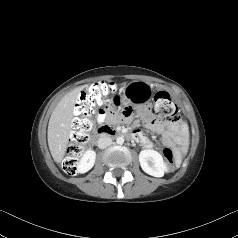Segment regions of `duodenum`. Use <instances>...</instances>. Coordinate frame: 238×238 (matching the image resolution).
<instances>
[{
    "instance_id": "1",
    "label": "duodenum",
    "mask_w": 238,
    "mask_h": 238,
    "mask_svg": "<svg viewBox=\"0 0 238 238\" xmlns=\"http://www.w3.org/2000/svg\"><path fill=\"white\" fill-rule=\"evenodd\" d=\"M96 133L98 137L125 136L131 140H137V135L134 132H118L106 125L98 127Z\"/></svg>"
}]
</instances>
